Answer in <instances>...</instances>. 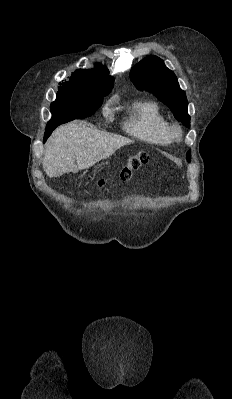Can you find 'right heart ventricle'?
Instances as JSON below:
<instances>
[{
  "instance_id": "1",
  "label": "right heart ventricle",
  "mask_w": 232,
  "mask_h": 399,
  "mask_svg": "<svg viewBox=\"0 0 232 399\" xmlns=\"http://www.w3.org/2000/svg\"><path fill=\"white\" fill-rule=\"evenodd\" d=\"M122 129L127 135L149 144L168 146L172 142L169 122L162 108L152 101L135 103Z\"/></svg>"
}]
</instances>
